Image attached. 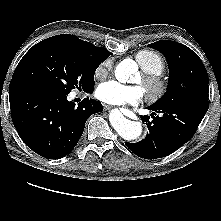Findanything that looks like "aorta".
<instances>
[{"label": "aorta", "instance_id": "obj_1", "mask_svg": "<svg viewBox=\"0 0 221 221\" xmlns=\"http://www.w3.org/2000/svg\"><path fill=\"white\" fill-rule=\"evenodd\" d=\"M136 71L137 64L134 61H123L117 66L115 76L119 82L125 83ZM109 120L116 132L125 140H137L142 136V124L126 119L117 109L111 112Z\"/></svg>", "mask_w": 221, "mask_h": 221}]
</instances>
